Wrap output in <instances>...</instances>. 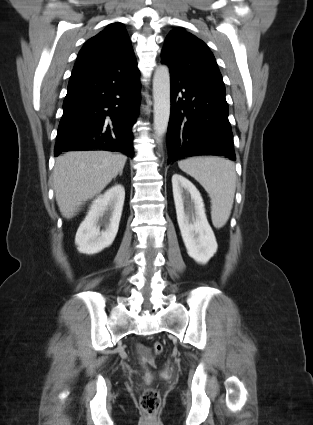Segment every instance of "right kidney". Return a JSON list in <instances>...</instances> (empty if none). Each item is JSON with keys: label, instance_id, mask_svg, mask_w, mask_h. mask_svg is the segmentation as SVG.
Returning a JSON list of instances; mask_svg holds the SVG:
<instances>
[{"label": "right kidney", "instance_id": "right-kidney-1", "mask_svg": "<svg viewBox=\"0 0 313 425\" xmlns=\"http://www.w3.org/2000/svg\"><path fill=\"white\" fill-rule=\"evenodd\" d=\"M124 199L125 189L117 184L92 202L75 236V244L80 253L96 254L113 243L118 232ZM102 219L106 229L100 232L99 221Z\"/></svg>", "mask_w": 313, "mask_h": 425}]
</instances>
